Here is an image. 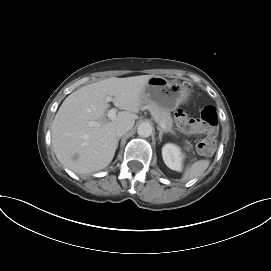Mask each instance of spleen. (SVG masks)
Segmentation results:
<instances>
[{"label": "spleen", "mask_w": 271, "mask_h": 271, "mask_svg": "<svg viewBox=\"0 0 271 271\" xmlns=\"http://www.w3.org/2000/svg\"><path fill=\"white\" fill-rule=\"evenodd\" d=\"M209 160H199L188 166L183 174L182 181L200 177L209 167Z\"/></svg>", "instance_id": "3e777b00"}]
</instances>
